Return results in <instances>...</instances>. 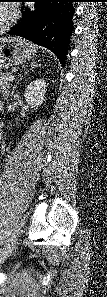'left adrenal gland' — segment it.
I'll list each match as a JSON object with an SVG mask.
<instances>
[{"label": "left adrenal gland", "instance_id": "1", "mask_svg": "<svg viewBox=\"0 0 107 297\" xmlns=\"http://www.w3.org/2000/svg\"><path fill=\"white\" fill-rule=\"evenodd\" d=\"M30 67H31L30 69L33 71V69H35L37 67V65H35V63H31ZM27 71L25 72V74H27ZM21 79H22V77H20V79L18 80V82L16 83V85L14 86V88H16L17 84L19 83V81Z\"/></svg>", "mask_w": 107, "mask_h": 297}]
</instances>
